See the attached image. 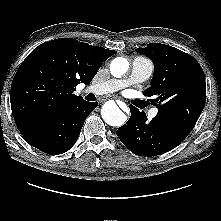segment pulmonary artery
I'll use <instances>...</instances> for the list:
<instances>
[{"mask_svg": "<svg viewBox=\"0 0 221 221\" xmlns=\"http://www.w3.org/2000/svg\"><path fill=\"white\" fill-rule=\"evenodd\" d=\"M153 70L154 66L150 60L142 56H137L132 62L131 72L127 78L110 79L100 84L91 85L86 88V92L98 95L113 93L131 84L144 82L152 75ZM157 113L158 109H153L150 116L155 117Z\"/></svg>", "mask_w": 221, "mask_h": 221, "instance_id": "pulmonary-artery-1", "label": "pulmonary artery"}]
</instances>
